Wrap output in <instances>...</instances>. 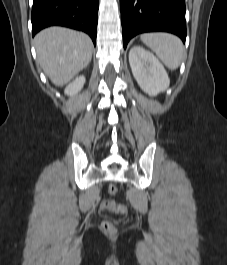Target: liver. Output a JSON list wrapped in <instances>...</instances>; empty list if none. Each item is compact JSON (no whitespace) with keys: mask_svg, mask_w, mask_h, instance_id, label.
<instances>
[{"mask_svg":"<svg viewBox=\"0 0 227 265\" xmlns=\"http://www.w3.org/2000/svg\"><path fill=\"white\" fill-rule=\"evenodd\" d=\"M37 59L56 86L71 81L91 61L93 43L88 35L64 27H49L34 39Z\"/></svg>","mask_w":227,"mask_h":265,"instance_id":"obj_1","label":"liver"}]
</instances>
